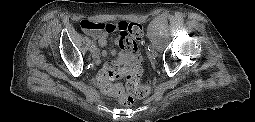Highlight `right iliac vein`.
Wrapping results in <instances>:
<instances>
[{
    "mask_svg": "<svg viewBox=\"0 0 255 122\" xmlns=\"http://www.w3.org/2000/svg\"><path fill=\"white\" fill-rule=\"evenodd\" d=\"M91 51V55L94 59L98 58L99 57V51L97 48H93L90 50Z\"/></svg>",
    "mask_w": 255,
    "mask_h": 122,
    "instance_id": "obj_1",
    "label": "right iliac vein"
}]
</instances>
